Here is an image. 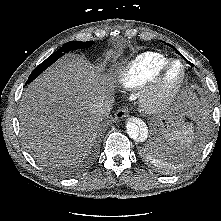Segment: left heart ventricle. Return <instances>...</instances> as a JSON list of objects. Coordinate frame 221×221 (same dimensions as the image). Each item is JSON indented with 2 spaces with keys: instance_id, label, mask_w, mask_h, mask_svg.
<instances>
[{
  "instance_id": "b2bd125f",
  "label": "left heart ventricle",
  "mask_w": 221,
  "mask_h": 221,
  "mask_svg": "<svg viewBox=\"0 0 221 221\" xmlns=\"http://www.w3.org/2000/svg\"><path fill=\"white\" fill-rule=\"evenodd\" d=\"M180 74H181V68L180 65H175L173 66V68L170 70L167 79H166V84H165V89L167 91H170L171 89H173L176 84L179 81L180 78Z\"/></svg>"
}]
</instances>
